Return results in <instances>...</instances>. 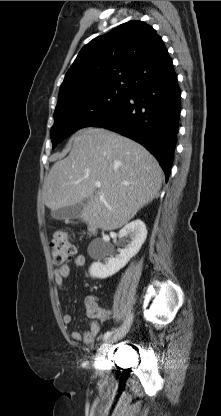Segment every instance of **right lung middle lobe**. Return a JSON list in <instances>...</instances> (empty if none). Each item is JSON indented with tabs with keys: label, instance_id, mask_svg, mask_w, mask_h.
Masks as SVG:
<instances>
[{
	"label": "right lung middle lobe",
	"instance_id": "obj_1",
	"mask_svg": "<svg viewBox=\"0 0 221 416\" xmlns=\"http://www.w3.org/2000/svg\"><path fill=\"white\" fill-rule=\"evenodd\" d=\"M129 92L124 88L109 89L56 106L51 128L53 148L75 131L108 120L126 100Z\"/></svg>",
	"mask_w": 221,
	"mask_h": 416
}]
</instances>
